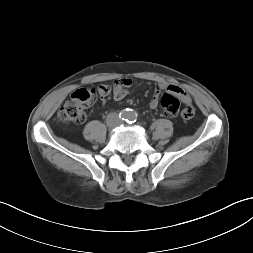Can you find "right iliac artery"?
<instances>
[{"instance_id": "1", "label": "right iliac artery", "mask_w": 253, "mask_h": 253, "mask_svg": "<svg viewBox=\"0 0 253 253\" xmlns=\"http://www.w3.org/2000/svg\"><path fill=\"white\" fill-rule=\"evenodd\" d=\"M119 117L122 118L123 120H127L128 114H127L126 112H121V113L119 114Z\"/></svg>"}]
</instances>
